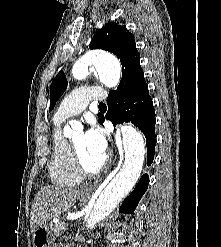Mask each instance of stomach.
<instances>
[{
    "label": "stomach",
    "instance_id": "obj_1",
    "mask_svg": "<svg viewBox=\"0 0 221 247\" xmlns=\"http://www.w3.org/2000/svg\"><path fill=\"white\" fill-rule=\"evenodd\" d=\"M87 198L84 194H79V200L84 201ZM55 239L52 224H44L37 227L32 232V242L34 247H52Z\"/></svg>",
    "mask_w": 221,
    "mask_h": 247
}]
</instances>
